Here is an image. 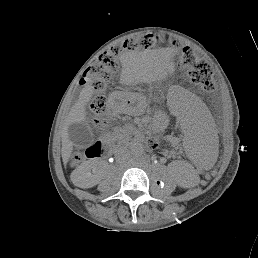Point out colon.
Instances as JSON below:
<instances>
[{"label":"colon","mask_w":258,"mask_h":258,"mask_svg":"<svg viewBox=\"0 0 258 258\" xmlns=\"http://www.w3.org/2000/svg\"><path fill=\"white\" fill-rule=\"evenodd\" d=\"M160 42H168V38L154 33L142 35L136 39L126 40L121 45L113 46L107 52L101 54L98 59L86 70L83 80L86 85L91 87L96 95L90 102V114L92 120L97 126H103L105 123L104 107L105 100L101 93L109 83L113 73L118 67V57L125 50L147 49L154 47ZM176 46V43L172 42ZM182 61L188 67L191 79L202 85L204 90L211 91L213 88L212 70L209 63L205 60H197L189 48H184L182 52ZM149 146L152 148L159 147L160 143L157 138L149 139ZM82 155L75 153L72 163L77 164L81 161Z\"/></svg>","instance_id":"colon-1"}]
</instances>
